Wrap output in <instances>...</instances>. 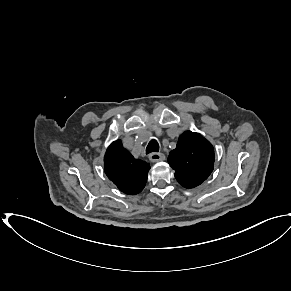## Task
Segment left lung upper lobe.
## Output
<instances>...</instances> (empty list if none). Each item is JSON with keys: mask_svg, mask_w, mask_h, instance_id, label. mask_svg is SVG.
Returning a JSON list of instances; mask_svg holds the SVG:
<instances>
[{"mask_svg": "<svg viewBox=\"0 0 291 291\" xmlns=\"http://www.w3.org/2000/svg\"><path fill=\"white\" fill-rule=\"evenodd\" d=\"M212 144L201 134L186 131L168 157L177 181L185 188H194L208 178L213 170Z\"/></svg>", "mask_w": 291, "mask_h": 291, "instance_id": "1", "label": "left lung upper lobe"}]
</instances>
